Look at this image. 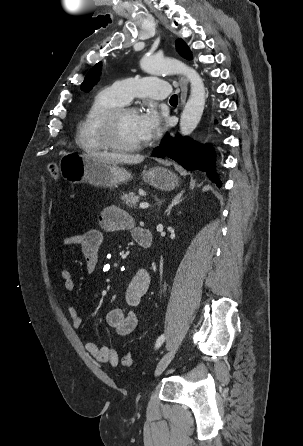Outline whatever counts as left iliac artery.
Returning <instances> with one entry per match:
<instances>
[{"instance_id":"1","label":"left iliac artery","mask_w":303,"mask_h":446,"mask_svg":"<svg viewBox=\"0 0 303 446\" xmlns=\"http://www.w3.org/2000/svg\"><path fill=\"white\" fill-rule=\"evenodd\" d=\"M164 341H165V335L163 334L158 337L155 347L159 348L163 344Z\"/></svg>"}]
</instances>
